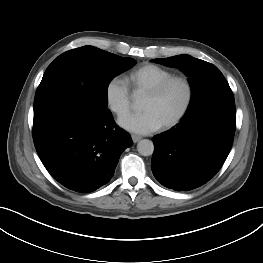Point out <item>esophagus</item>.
<instances>
[{
    "label": "esophagus",
    "instance_id": "esophagus-1",
    "mask_svg": "<svg viewBox=\"0 0 263 263\" xmlns=\"http://www.w3.org/2000/svg\"><path fill=\"white\" fill-rule=\"evenodd\" d=\"M131 137L134 143H137L139 140H141V136L139 135L132 134Z\"/></svg>",
    "mask_w": 263,
    "mask_h": 263
}]
</instances>
